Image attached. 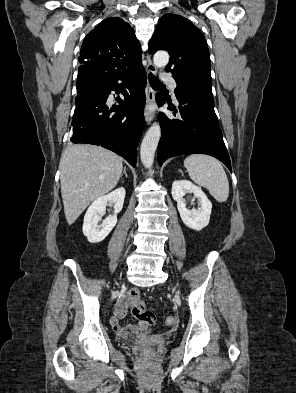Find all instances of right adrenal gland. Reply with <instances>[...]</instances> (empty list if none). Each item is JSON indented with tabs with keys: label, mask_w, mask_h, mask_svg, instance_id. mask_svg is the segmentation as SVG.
I'll return each instance as SVG.
<instances>
[{
	"label": "right adrenal gland",
	"mask_w": 296,
	"mask_h": 393,
	"mask_svg": "<svg viewBox=\"0 0 296 393\" xmlns=\"http://www.w3.org/2000/svg\"><path fill=\"white\" fill-rule=\"evenodd\" d=\"M123 174L125 175L126 178L128 177V175L126 173V167H124V170H123V173H122L121 177L123 176Z\"/></svg>",
	"instance_id": "2a0ac1e0"
}]
</instances>
